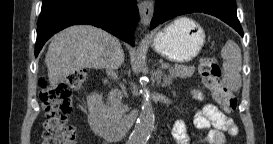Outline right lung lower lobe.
I'll return each instance as SVG.
<instances>
[{
  "label": "right lung lower lobe",
  "instance_id": "obj_1",
  "mask_svg": "<svg viewBox=\"0 0 273 144\" xmlns=\"http://www.w3.org/2000/svg\"><path fill=\"white\" fill-rule=\"evenodd\" d=\"M137 23L135 0H42L35 56L51 36L75 24L100 27L134 46Z\"/></svg>",
  "mask_w": 273,
  "mask_h": 144
}]
</instances>
